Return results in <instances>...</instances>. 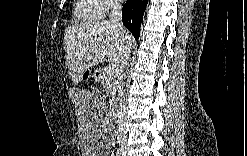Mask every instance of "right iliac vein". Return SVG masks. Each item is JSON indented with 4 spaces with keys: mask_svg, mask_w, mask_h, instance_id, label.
<instances>
[{
    "mask_svg": "<svg viewBox=\"0 0 247 156\" xmlns=\"http://www.w3.org/2000/svg\"><path fill=\"white\" fill-rule=\"evenodd\" d=\"M121 150L123 151V153H126V151H127L126 146L122 145Z\"/></svg>",
    "mask_w": 247,
    "mask_h": 156,
    "instance_id": "1",
    "label": "right iliac vein"
}]
</instances>
